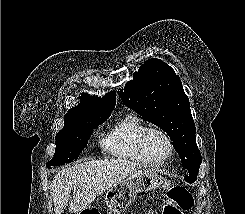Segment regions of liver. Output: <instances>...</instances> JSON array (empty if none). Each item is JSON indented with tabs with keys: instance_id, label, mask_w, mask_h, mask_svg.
Wrapping results in <instances>:
<instances>
[{
	"instance_id": "liver-1",
	"label": "liver",
	"mask_w": 245,
	"mask_h": 214,
	"mask_svg": "<svg viewBox=\"0 0 245 214\" xmlns=\"http://www.w3.org/2000/svg\"><path fill=\"white\" fill-rule=\"evenodd\" d=\"M138 169L134 162L113 158L85 161L62 169L52 182L55 214H61L66 209L72 189L74 195L69 211L77 213Z\"/></svg>"
}]
</instances>
